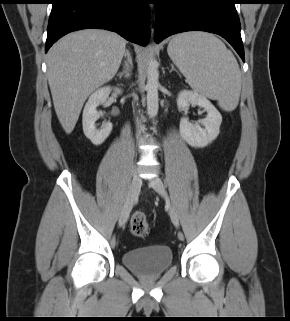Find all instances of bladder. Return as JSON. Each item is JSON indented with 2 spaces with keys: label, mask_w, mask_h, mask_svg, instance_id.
Masks as SVG:
<instances>
[{
  "label": "bladder",
  "mask_w": 290,
  "mask_h": 321,
  "mask_svg": "<svg viewBox=\"0 0 290 321\" xmlns=\"http://www.w3.org/2000/svg\"><path fill=\"white\" fill-rule=\"evenodd\" d=\"M124 265L142 277H154L162 274L173 262L170 248L152 245L127 250L122 254Z\"/></svg>",
  "instance_id": "1"
}]
</instances>
